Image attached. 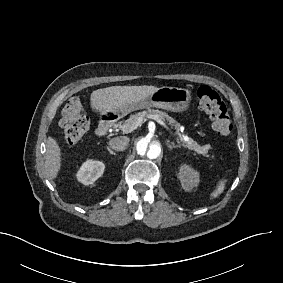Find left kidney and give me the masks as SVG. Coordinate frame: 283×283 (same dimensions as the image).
<instances>
[{"label": "left kidney", "mask_w": 283, "mask_h": 283, "mask_svg": "<svg viewBox=\"0 0 283 283\" xmlns=\"http://www.w3.org/2000/svg\"><path fill=\"white\" fill-rule=\"evenodd\" d=\"M199 177L200 174L198 171L194 170L189 165H181L179 180L185 191H191L194 187H197L200 181Z\"/></svg>", "instance_id": "5707ae66"}]
</instances>
